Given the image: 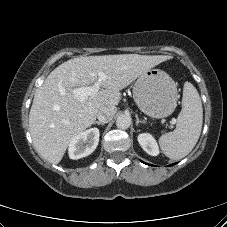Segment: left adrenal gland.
<instances>
[{
    "label": "left adrenal gland",
    "mask_w": 227,
    "mask_h": 227,
    "mask_svg": "<svg viewBox=\"0 0 227 227\" xmlns=\"http://www.w3.org/2000/svg\"><path fill=\"white\" fill-rule=\"evenodd\" d=\"M139 123H144V121L139 120L138 115H136V125L138 126Z\"/></svg>",
    "instance_id": "1"
}]
</instances>
